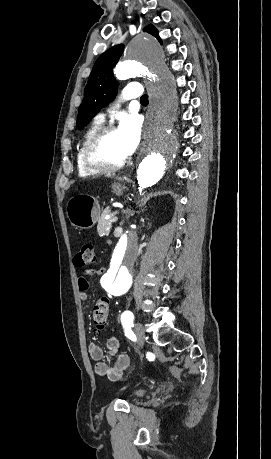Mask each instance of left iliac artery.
<instances>
[{
    "label": "left iliac artery",
    "mask_w": 271,
    "mask_h": 459,
    "mask_svg": "<svg viewBox=\"0 0 271 459\" xmlns=\"http://www.w3.org/2000/svg\"><path fill=\"white\" fill-rule=\"evenodd\" d=\"M134 315L131 311H124L121 315V322L124 327L123 334L130 336L132 334Z\"/></svg>",
    "instance_id": "obj_1"
}]
</instances>
